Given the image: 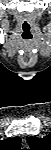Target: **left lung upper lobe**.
<instances>
[{"label":"left lung upper lobe","instance_id":"left-lung-upper-lobe-1","mask_svg":"<svg viewBox=\"0 0 51 150\" xmlns=\"http://www.w3.org/2000/svg\"><path fill=\"white\" fill-rule=\"evenodd\" d=\"M50 135H47L44 138H38V137H28V143L29 145L34 149L36 148L38 150V148L43 147V146H47L48 143L50 142Z\"/></svg>","mask_w":51,"mask_h":150}]
</instances>
